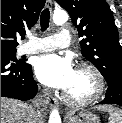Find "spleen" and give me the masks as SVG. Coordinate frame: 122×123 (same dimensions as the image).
Returning a JSON list of instances; mask_svg holds the SVG:
<instances>
[{
    "label": "spleen",
    "mask_w": 122,
    "mask_h": 123,
    "mask_svg": "<svg viewBox=\"0 0 122 123\" xmlns=\"http://www.w3.org/2000/svg\"><path fill=\"white\" fill-rule=\"evenodd\" d=\"M100 109L109 113L108 123H122L121 110L110 105L101 106Z\"/></svg>",
    "instance_id": "spleen-1"
}]
</instances>
